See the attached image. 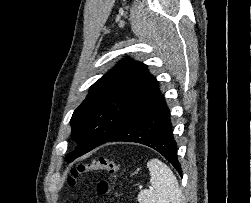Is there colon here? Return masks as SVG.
Listing matches in <instances>:
<instances>
[{
    "instance_id": "colon-1",
    "label": "colon",
    "mask_w": 251,
    "mask_h": 203,
    "mask_svg": "<svg viewBox=\"0 0 251 203\" xmlns=\"http://www.w3.org/2000/svg\"><path fill=\"white\" fill-rule=\"evenodd\" d=\"M99 171L107 172L111 176V181L101 180L97 185L98 193L101 195L114 193L115 183L121 172L120 164L117 161L104 157L93 158L87 163L79 164L77 167L72 168L68 177V184L74 187L83 174Z\"/></svg>"
}]
</instances>
